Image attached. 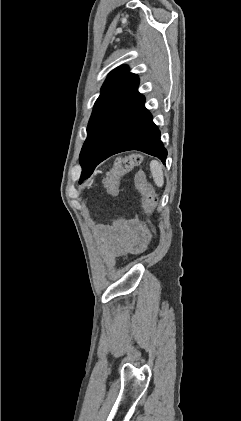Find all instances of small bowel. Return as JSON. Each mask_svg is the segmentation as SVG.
Wrapping results in <instances>:
<instances>
[{
  "instance_id": "obj_1",
  "label": "small bowel",
  "mask_w": 241,
  "mask_h": 421,
  "mask_svg": "<svg viewBox=\"0 0 241 421\" xmlns=\"http://www.w3.org/2000/svg\"><path fill=\"white\" fill-rule=\"evenodd\" d=\"M99 241L108 264L115 258L144 252L149 244V233L137 219L115 220L103 225Z\"/></svg>"
}]
</instances>
